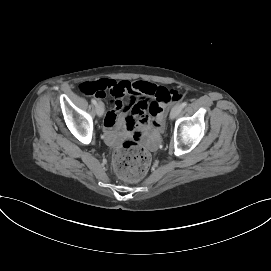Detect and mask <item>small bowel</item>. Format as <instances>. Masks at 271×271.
<instances>
[{"label": "small bowel", "instance_id": "1", "mask_svg": "<svg viewBox=\"0 0 271 271\" xmlns=\"http://www.w3.org/2000/svg\"><path fill=\"white\" fill-rule=\"evenodd\" d=\"M104 82L107 84V91L114 98V108L109 110L104 118L105 138L110 145H116L126 134L140 138L148 128L152 129L154 135L162 129L164 108L168 102L159 100L157 93L166 88L146 81L131 83L107 79ZM104 96L105 93L98 98ZM127 96L131 98L128 107L123 102V98ZM128 109L131 117H127Z\"/></svg>", "mask_w": 271, "mask_h": 271}]
</instances>
